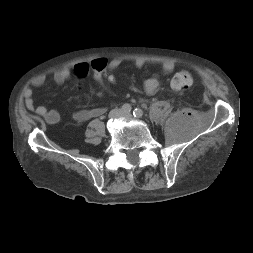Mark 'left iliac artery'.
Segmentation results:
<instances>
[{
	"instance_id": "left-iliac-artery-1",
	"label": "left iliac artery",
	"mask_w": 253,
	"mask_h": 253,
	"mask_svg": "<svg viewBox=\"0 0 253 253\" xmlns=\"http://www.w3.org/2000/svg\"><path fill=\"white\" fill-rule=\"evenodd\" d=\"M133 116L136 118H141L143 116V111L140 108H136L133 111Z\"/></svg>"
}]
</instances>
